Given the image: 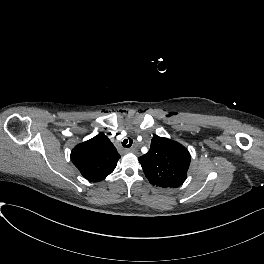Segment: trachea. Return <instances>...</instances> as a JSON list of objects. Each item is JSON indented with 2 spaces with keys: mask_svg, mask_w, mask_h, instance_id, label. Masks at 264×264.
I'll use <instances>...</instances> for the list:
<instances>
[{
  "mask_svg": "<svg viewBox=\"0 0 264 264\" xmlns=\"http://www.w3.org/2000/svg\"><path fill=\"white\" fill-rule=\"evenodd\" d=\"M133 140L131 138L124 139L122 142L123 147L129 148L132 146Z\"/></svg>",
  "mask_w": 264,
  "mask_h": 264,
  "instance_id": "1",
  "label": "trachea"
}]
</instances>
